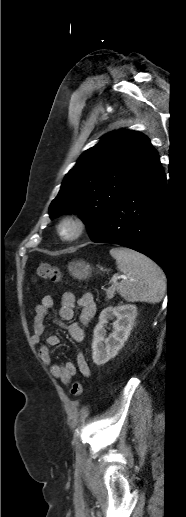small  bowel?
<instances>
[{"label": "small bowel", "mask_w": 186, "mask_h": 517, "mask_svg": "<svg viewBox=\"0 0 186 517\" xmlns=\"http://www.w3.org/2000/svg\"><path fill=\"white\" fill-rule=\"evenodd\" d=\"M77 306L80 310L78 322L65 324V321H70L74 317V308ZM54 307V299L52 296H44L41 303L36 305L33 316V335L32 342L39 345L45 332V320L50 317V311ZM96 312V303L92 294L85 293L77 298L72 292H65L61 298V304L58 310V319L56 323L64 327L74 342L81 344L84 342V326H86ZM60 343V337L56 334L47 336L46 344L39 346L38 354L40 360L49 367L51 375L61 381L63 384H68L71 378L76 374L77 369L84 377L91 375V370L85 356L78 353L76 357V364L72 362H65L62 364L52 363L50 347L56 346Z\"/></svg>", "instance_id": "1"}]
</instances>
